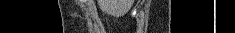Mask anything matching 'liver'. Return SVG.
<instances>
[{"label":"liver","mask_w":235,"mask_h":33,"mask_svg":"<svg viewBox=\"0 0 235 33\" xmlns=\"http://www.w3.org/2000/svg\"><path fill=\"white\" fill-rule=\"evenodd\" d=\"M133 0H97L99 8L112 16L126 14L132 7Z\"/></svg>","instance_id":"liver-1"}]
</instances>
